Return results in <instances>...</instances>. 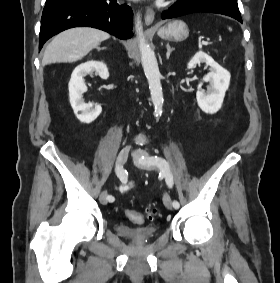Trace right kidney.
<instances>
[{"label": "right kidney", "instance_id": "obj_1", "mask_svg": "<svg viewBox=\"0 0 280 283\" xmlns=\"http://www.w3.org/2000/svg\"><path fill=\"white\" fill-rule=\"evenodd\" d=\"M96 72L102 79L109 77L107 66L103 62L88 61L78 65L72 72L69 82V99L73 111L82 123H91L102 112L100 105L85 103L82 95L86 92L87 87L84 83V77L87 74Z\"/></svg>", "mask_w": 280, "mask_h": 283}]
</instances>
